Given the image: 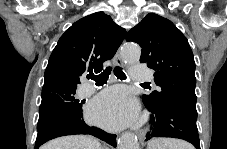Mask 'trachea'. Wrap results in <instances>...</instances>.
I'll list each match as a JSON object with an SVG mask.
<instances>
[{
  "label": "trachea",
  "instance_id": "3493384b",
  "mask_svg": "<svg viewBox=\"0 0 227 149\" xmlns=\"http://www.w3.org/2000/svg\"><path fill=\"white\" fill-rule=\"evenodd\" d=\"M111 71H112V68L109 66L98 75H94L93 73H90L89 75H87V78L94 80L97 85H103L107 83V80L109 78V75L111 74ZM114 75L120 80L126 79L125 73L123 72L122 68L119 66H116L114 68Z\"/></svg>",
  "mask_w": 227,
  "mask_h": 149
}]
</instances>
